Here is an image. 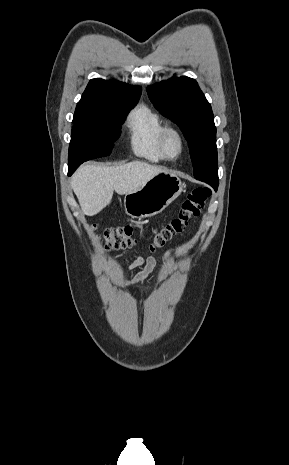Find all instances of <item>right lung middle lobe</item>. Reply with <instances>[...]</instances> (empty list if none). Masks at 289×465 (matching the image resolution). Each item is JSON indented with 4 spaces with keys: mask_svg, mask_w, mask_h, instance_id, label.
<instances>
[{
    "mask_svg": "<svg viewBox=\"0 0 289 465\" xmlns=\"http://www.w3.org/2000/svg\"><path fill=\"white\" fill-rule=\"evenodd\" d=\"M136 104L137 101L116 102L106 108L99 121H73L68 162L83 163L109 155L120 136V125Z\"/></svg>",
    "mask_w": 289,
    "mask_h": 465,
    "instance_id": "obj_1",
    "label": "right lung middle lobe"
}]
</instances>
